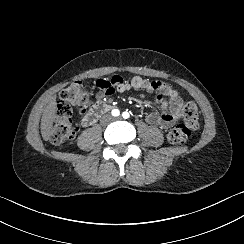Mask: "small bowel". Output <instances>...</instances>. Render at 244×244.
Segmentation results:
<instances>
[{"mask_svg": "<svg viewBox=\"0 0 244 244\" xmlns=\"http://www.w3.org/2000/svg\"><path fill=\"white\" fill-rule=\"evenodd\" d=\"M96 87L98 90L95 94V100L98 102L105 100L116 92L122 93L130 89L155 93L153 98L154 104L160 106L162 112L157 113L151 111L146 115V122L151 126L167 129L178 119V109L181 98L179 93L166 82L149 81L141 77H133L131 80H126L121 76H113L110 79L98 80L96 82ZM89 121V114L86 113L83 122L89 123Z\"/></svg>", "mask_w": 244, "mask_h": 244, "instance_id": "obj_1", "label": "small bowel"}]
</instances>
